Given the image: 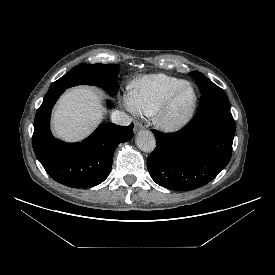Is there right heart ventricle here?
Here are the masks:
<instances>
[{
	"label": "right heart ventricle",
	"mask_w": 275,
	"mask_h": 275,
	"mask_svg": "<svg viewBox=\"0 0 275 275\" xmlns=\"http://www.w3.org/2000/svg\"><path fill=\"white\" fill-rule=\"evenodd\" d=\"M184 83V80L166 74H151L140 78L131 90L137 111L145 115L154 114L165 98Z\"/></svg>",
	"instance_id": "right-heart-ventricle-1"
}]
</instances>
